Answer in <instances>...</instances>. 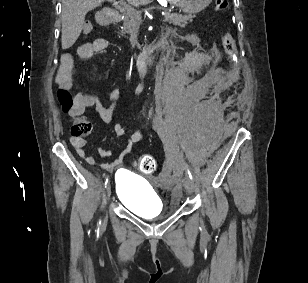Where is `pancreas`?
<instances>
[{
    "label": "pancreas",
    "mask_w": 308,
    "mask_h": 283,
    "mask_svg": "<svg viewBox=\"0 0 308 283\" xmlns=\"http://www.w3.org/2000/svg\"><path fill=\"white\" fill-rule=\"evenodd\" d=\"M194 15L170 14L164 16V21L175 26H184L188 21H192ZM141 24V14L137 11L128 10L123 18V32L132 33Z\"/></svg>",
    "instance_id": "1"
}]
</instances>
